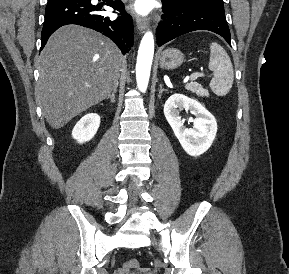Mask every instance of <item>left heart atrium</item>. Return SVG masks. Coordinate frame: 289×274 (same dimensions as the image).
I'll use <instances>...</instances> for the list:
<instances>
[{
	"label": "left heart atrium",
	"instance_id": "obj_1",
	"mask_svg": "<svg viewBox=\"0 0 289 274\" xmlns=\"http://www.w3.org/2000/svg\"><path fill=\"white\" fill-rule=\"evenodd\" d=\"M135 10L141 14L147 13L150 10L149 0H137Z\"/></svg>",
	"mask_w": 289,
	"mask_h": 274
}]
</instances>
